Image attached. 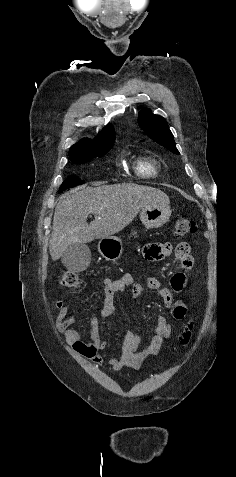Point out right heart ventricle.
I'll list each match as a JSON object with an SVG mask.
<instances>
[{
	"label": "right heart ventricle",
	"instance_id": "right-heart-ventricle-1",
	"mask_svg": "<svg viewBox=\"0 0 236 477\" xmlns=\"http://www.w3.org/2000/svg\"><path fill=\"white\" fill-rule=\"evenodd\" d=\"M156 164L152 160H140L137 165V172L142 176H152L156 173Z\"/></svg>",
	"mask_w": 236,
	"mask_h": 477
}]
</instances>
